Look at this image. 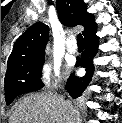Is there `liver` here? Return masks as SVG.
Returning a JSON list of instances; mask_svg holds the SVG:
<instances>
[{"mask_svg": "<svg viewBox=\"0 0 122 123\" xmlns=\"http://www.w3.org/2000/svg\"><path fill=\"white\" fill-rule=\"evenodd\" d=\"M9 123H80L78 111L53 92L30 94L18 101Z\"/></svg>", "mask_w": 122, "mask_h": 123, "instance_id": "1", "label": "liver"}]
</instances>
